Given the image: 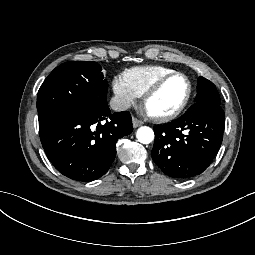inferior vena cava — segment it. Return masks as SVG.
Returning <instances> with one entry per match:
<instances>
[{"mask_svg": "<svg viewBox=\"0 0 255 255\" xmlns=\"http://www.w3.org/2000/svg\"><path fill=\"white\" fill-rule=\"evenodd\" d=\"M131 106L130 100L123 96H114L111 99V107L115 111H125Z\"/></svg>", "mask_w": 255, "mask_h": 255, "instance_id": "inferior-vena-cava-1", "label": "inferior vena cava"}]
</instances>
